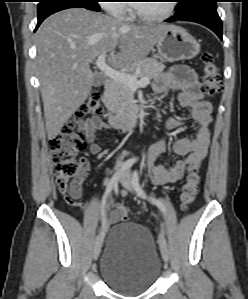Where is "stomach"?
I'll return each mask as SVG.
<instances>
[{"mask_svg": "<svg viewBox=\"0 0 248 299\" xmlns=\"http://www.w3.org/2000/svg\"><path fill=\"white\" fill-rule=\"evenodd\" d=\"M159 55L168 62L189 60L200 51L196 39L186 30L177 26H168L157 41Z\"/></svg>", "mask_w": 248, "mask_h": 299, "instance_id": "stomach-1", "label": "stomach"}]
</instances>
